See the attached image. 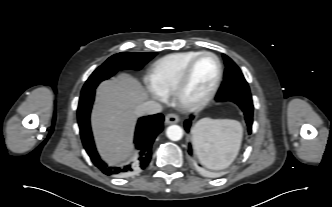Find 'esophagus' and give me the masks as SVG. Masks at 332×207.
<instances>
[{
    "label": "esophagus",
    "instance_id": "34e87169",
    "mask_svg": "<svg viewBox=\"0 0 332 207\" xmlns=\"http://www.w3.org/2000/svg\"><path fill=\"white\" fill-rule=\"evenodd\" d=\"M178 122H179V117L176 114H174V113H169L165 117V123L167 125H169V124H175V123H178Z\"/></svg>",
    "mask_w": 332,
    "mask_h": 207
}]
</instances>
